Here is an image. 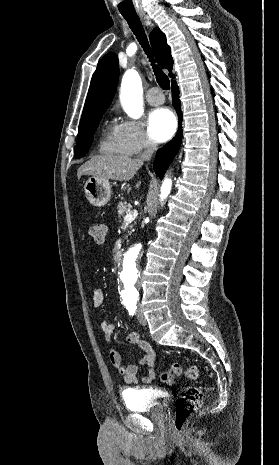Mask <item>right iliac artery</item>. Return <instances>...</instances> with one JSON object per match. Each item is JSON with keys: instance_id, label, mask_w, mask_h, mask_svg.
Segmentation results:
<instances>
[{"instance_id": "82829eb1", "label": "right iliac artery", "mask_w": 279, "mask_h": 465, "mask_svg": "<svg viewBox=\"0 0 279 465\" xmlns=\"http://www.w3.org/2000/svg\"><path fill=\"white\" fill-rule=\"evenodd\" d=\"M136 308H137V307H135V306H129V307H127L129 314H130V315H134Z\"/></svg>"}]
</instances>
